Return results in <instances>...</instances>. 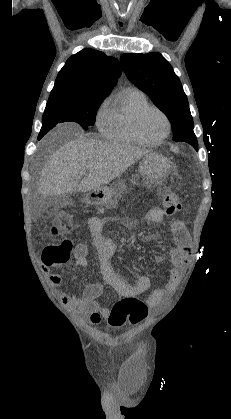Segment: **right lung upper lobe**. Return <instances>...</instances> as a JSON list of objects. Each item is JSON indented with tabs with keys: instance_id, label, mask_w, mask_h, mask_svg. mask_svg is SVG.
Wrapping results in <instances>:
<instances>
[{
	"instance_id": "right-lung-upper-lobe-1",
	"label": "right lung upper lobe",
	"mask_w": 231,
	"mask_h": 419,
	"mask_svg": "<svg viewBox=\"0 0 231 419\" xmlns=\"http://www.w3.org/2000/svg\"><path fill=\"white\" fill-rule=\"evenodd\" d=\"M122 69L119 61L103 52L83 49L68 58L57 75L52 91L76 97L105 98L116 85Z\"/></svg>"
}]
</instances>
